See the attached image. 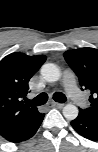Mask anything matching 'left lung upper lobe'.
<instances>
[{"label": "left lung upper lobe", "instance_id": "5c2ea615", "mask_svg": "<svg viewBox=\"0 0 98 152\" xmlns=\"http://www.w3.org/2000/svg\"><path fill=\"white\" fill-rule=\"evenodd\" d=\"M64 58L79 79L81 89L90 92V105L80 112L98 119V50L81 48L69 50Z\"/></svg>", "mask_w": 98, "mask_h": 152}]
</instances>
